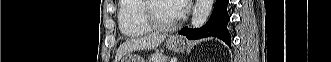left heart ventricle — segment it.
Wrapping results in <instances>:
<instances>
[{
    "label": "left heart ventricle",
    "mask_w": 331,
    "mask_h": 62,
    "mask_svg": "<svg viewBox=\"0 0 331 62\" xmlns=\"http://www.w3.org/2000/svg\"><path fill=\"white\" fill-rule=\"evenodd\" d=\"M152 13L162 23H169L177 19L171 1H154Z\"/></svg>",
    "instance_id": "obj_1"
}]
</instances>
